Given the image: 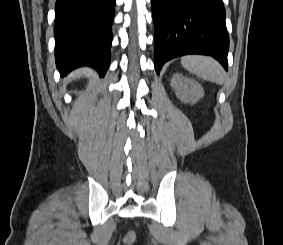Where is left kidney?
Instances as JSON below:
<instances>
[{"label": "left kidney", "instance_id": "1", "mask_svg": "<svg viewBox=\"0 0 283 245\" xmlns=\"http://www.w3.org/2000/svg\"><path fill=\"white\" fill-rule=\"evenodd\" d=\"M171 87L177 97L184 103H195L204 96L203 87L194 79L175 73L171 79Z\"/></svg>", "mask_w": 283, "mask_h": 245}]
</instances>
